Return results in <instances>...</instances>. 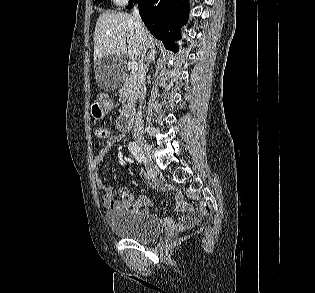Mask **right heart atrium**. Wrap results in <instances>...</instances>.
<instances>
[{
  "instance_id": "right-heart-atrium-1",
  "label": "right heart atrium",
  "mask_w": 315,
  "mask_h": 293,
  "mask_svg": "<svg viewBox=\"0 0 315 293\" xmlns=\"http://www.w3.org/2000/svg\"><path fill=\"white\" fill-rule=\"evenodd\" d=\"M114 3L117 5V6H120V7H123L125 6L130 0H113Z\"/></svg>"
}]
</instances>
